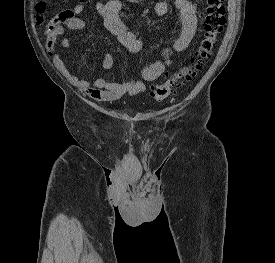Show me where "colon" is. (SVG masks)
Masks as SVG:
<instances>
[{
  "label": "colon",
  "mask_w": 275,
  "mask_h": 263,
  "mask_svg": "<svg viewBox=\"0 0 275 263\" xmlns=\"http://www.w3.org/2000/svg\"><path fill=\"white\" fill-rule=\"evenodd\" d=\"M37 13L45 11L40 3L36 6ZM226 24L224 0H206L203 37L195 53L188 63L175 72L167 73L164 78L154 84L150 96L156 101H162L175 94L178 87L189 83L201 70L214 52L219 36Z\"/></svg>",
  "instance_id": "1"
}]
</instances>
